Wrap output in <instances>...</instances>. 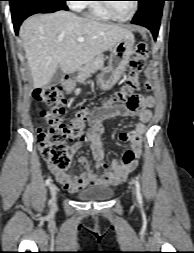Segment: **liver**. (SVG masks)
I'll return each instance as SVG.
<instances>
[{
	"mask_svg": "<svg viewBox=\"0 0 194 253\" xmlns=\"http://www.w3.org/2000/svg\"><path fill=\"white\" fill-rule=\"evenodd\" d=\"M19 36L34 88L50 83L58 68L74 73L122 39H134L125 27L86 19L68 11L29 17L22 23ZM79 37H83L84 42H78Z\"/></svg>",
	"mask_w": 194,
	"mask_h": 253,
	"instance_id": "6515ba94",
	"label": "liver"
}]
</instances>
